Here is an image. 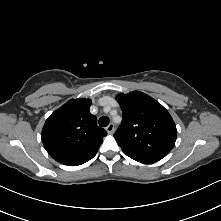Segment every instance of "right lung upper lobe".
<instances>
[{"label": "right lung upper lobe", "mask_w": 221, "mask_h": 221, "mask_svg": "<svg viewBox=\"0 0 221 221\" xmlns=\"http://www.w3.org/2000/svg\"><path fill=\"white\" fill-rule=\"evenodd\" d=\"M90 99H72L46 120L41 139L49 155L57 162L81 165L92 159L107 132L98 127L89 112Z\"/></svg>", "instance_id": "right-lung-upper-lobe-1"}]
</instances>
